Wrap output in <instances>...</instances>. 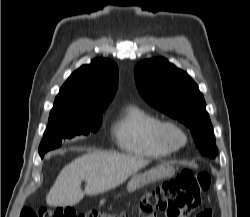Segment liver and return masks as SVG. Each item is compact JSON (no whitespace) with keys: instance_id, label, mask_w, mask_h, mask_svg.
Masks as SVG:
<instances>
[{"instance_id":"obj_1","label":"liver","mask_w":250,"mask_h":217,"mask_svg":"<svg viewBox=\"0 0 250 217\" xmlns=\"http://www.w3.org/2000/svg\"><path fill=\"white\" fill-rule=\"evenodd\" d=\"M149 163L144 158L113 152H89L66 165L57 176L46 202L49 206H73L85 195L107 192L125 182ZM86 182L85 190L81 182Z\"/></svg>"}]
</instances>
